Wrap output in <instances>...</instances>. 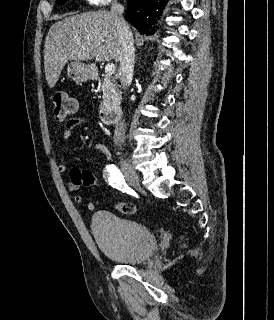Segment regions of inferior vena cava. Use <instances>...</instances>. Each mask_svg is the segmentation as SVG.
<instances>
[{
	"mask_svg": "<svg viewBox=\"0 0 274 320\" xmlns=\"http://www.w3.org/2000/svg\"><path fill=\"white\" fill-rule=\"evenodd\" d=\"M110 12L112 14L116 32L121 42L119 76L124 90H127L129 82H131L133 78L134 70L135 48L133 44V36L127 22H125L123 18L124 8L122 4H118L117 0H115L114 4H112L110 8ZM124 124V120L119 124V128L117 130L118 142H122V140H124Z\"/></svg>",
	"mask_w": 274,
	"mask_h": 320,
	"instance_id": "obj_1",
	"label": "inferior vena cava"
}]
</instances>
